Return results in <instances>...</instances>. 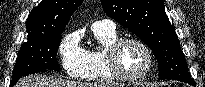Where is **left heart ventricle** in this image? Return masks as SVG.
<instances>
[{
    "mask_svg": "<svg viewBox=\"0 0 205 87\" xmlns=\"http://www.w3.org/2000/svg\"><path fill=\"white\" fill-rule=\"evenodd\" d=\"M119 65L127 75L140 74L147 65V56L144 50L137 44H126L119 53Z\"/></svg>",
    "mask_w": 205,
    "mask_h": 87,
    "instance_id": "1",
    "label": "left heart ventricle"
}]
</instances>
